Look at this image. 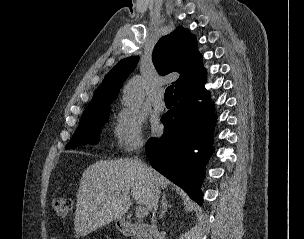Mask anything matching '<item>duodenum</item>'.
I'll use <instances>...</instances> for the list:
<instances>
[{"instance_id":"obj_1","label":"duodenum","mask_w":304,"mask_h":239,"mask_svg":"<svg viewBox=\"0 0 304 239\" xmlns=\"http://www.w3.org/2000/svg\"><path fill=\"white\" fill-rule=\"evenodd\" d=\"M119 228L120 231L128 237H135L136 239H152V231L149 224L121 220L119 222Z\"/></svg>"}]
</instances>
